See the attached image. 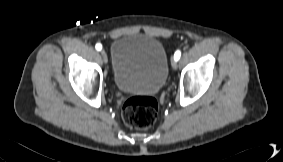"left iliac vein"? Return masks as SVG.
<instances>
[{
  "mask_svg": "<svg viewBox=\"0 0 283 162\" xmlns=\"http://www.w3.org/2000/svg\"><path fill=\"white\" fill-rule=\"evenodd\" d=\"M177 67H178L177 61H176V60H173V61H172V68H173L174 70H176Z\"/></svg>",
  "mask_w": 283,
  "mask_h": 162,
  "instance_id": "left-iliac-vein-1",
  "label": "left iliac vein"
}]
</instances>
